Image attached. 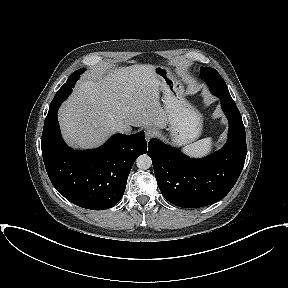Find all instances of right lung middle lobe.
I'll return each instance as SVG.
<instances>
[{
	"mask_svg": "<svg viewBox=\"0 0 288 288\" xmlns=\"http://www.w3.org/2000/svg\"><path fill=\"white\" fill-rule=\"evenodd\" d=\"M86 69L82 68L73 72L68 78L67 82L57 91L54 99L52 100L50 107L62 103L72 91V87L78 80L80 73L84 72Z\"/></svg>",
	"mask_w": 288,
	"mask_h": 288,
	"instance_id": "1",
	"label": "right lung middle lobe"
}]
</instances>
